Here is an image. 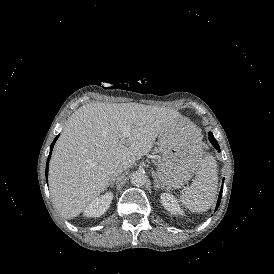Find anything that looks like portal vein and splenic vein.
Returning a JSON list of instances; mask_svg holds the SVG:
<instances>
[{"label":"portal vein and splenic vein","mask_w":274,"mask_h":274,"mask_svg":"<svg viewBox=\"0 0 274 274\" xmlns=\"http://www.w3.org/2000/svg\"><path fill=\"white\" fill-rule=\"evenodd\" d=\"M124 135H125V136H126V135H129V132L124 133Z\"/></svg>","instance_id":"1"}]
</instances>
